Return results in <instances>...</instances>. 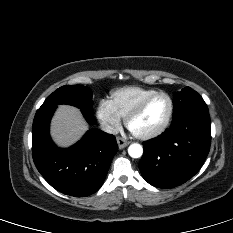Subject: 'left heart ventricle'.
<instances>
[{
    "mask_svg": "<svg viewBox=\"0 0 233 233\" xmlns=\"http://www.w3.org/2000/svg\"><path fill=\"white\" fill-rule=\"evenodd\" d=\"M169 112V102L166 97L154 98L145 109L130 123L133 132L145 134L158 129L165 121Z\"/></svg>",
    "mask_w": 233,
    "mask_h": 233,
    "instance_id": "obj_1",
    "label": "left heart ventricle"
}]
</instances>
